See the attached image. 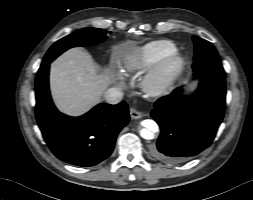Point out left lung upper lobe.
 Instances as JSON below:
<instances>
[{"label":"left lung upper lobe","instance_id":"left-lung-upper-lobe-1","mask_svg":"<svg viewBox=\"0 0 253 200\" xmlns=\"http://www.w3.org/2000/svg\"><path fill=\"white\" fill-rule=\"evenodd\" d=\"M195 44L194 63L192 65L194 76L214 75L225 78V71L215 47L208 41L193 37Z\"/></svg>","mask_w":253,"mask_h":200}]
</instances>
